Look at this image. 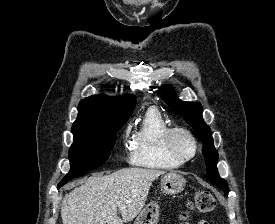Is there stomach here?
Wrapping results in <instances>:
<instances>
[{
    "label": "stomach",
    "mask_w": 275,
    "mask_h": 224,
    "mask_svg": "<svg viewBox=\"0 0 275 224\" xmlns=\"http://www.w3.org/2000/svg\"><path fill=\"white\" fill-rule=\"evenodd\" d=\"M185 179L176 173L165 174L161 177V191L166 195H176L183 191ZM160 215V207L156 202L148 203L133 224H157Z\"/></svg>",
    "instance_id": "0dacf381"
}]
</instances>
